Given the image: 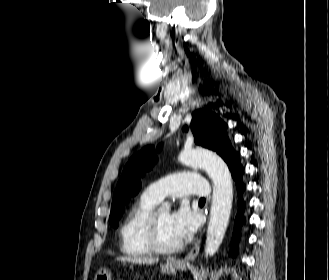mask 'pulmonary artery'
I'll list each match as a JSON object with an SVG mask.
<instances>
[{
	"instance_id": "pulmonary-artery-1",
	"label": "pulmonary artery",
	"mask_w": 329,
	"mask_h": 280,
	"mask_svg": "<svg viewBox=\"0 0 329 280\" xmlns=\"http://www.w3.org/2000/svg\"><path fill=\"white\" fill-rule=\"evenodd\" d=\"M208 190L207 182L199 174L184 171L153 182L145 189V193L161 201L166 195H194L203 198L208 195Z\"/></svg>"
}]
</instances>
